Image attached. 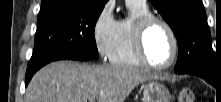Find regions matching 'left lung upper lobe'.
<instances>
[{
    "label": "left lung upper lobe",
    "mask_w": 221,
    "mask_h": 102,
    "mask_svg": "<svg viewBox=\"0 0 221 102\" xmlns=\"http://www.w3.org/2000/svg\"><path fill=\"white\" fill-rule=\"evenodd\" d=\"M170 25L179 46L175 70L202 69L217 76L221 57L214 52L202 0H150Z\"/></svg>",
    "instance_id": "5c2ea615"
}]
</instances>
